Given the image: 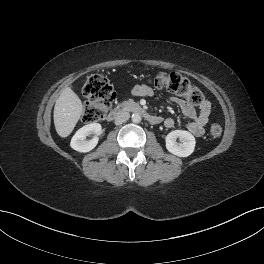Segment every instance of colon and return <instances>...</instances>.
I'll return each instance as SVG.
<instances>
[{
    "label": "colon",
    "instance_id": "colon-1",
    "mask_svg": "<svg viewBox=\"0 0 264 264\" xmlns=\"http://www.w3.org/2000/svg\"><path fill=\"white\" fill-rule=\"evenodd\" d=\"M148 82L157 89H165L173 94L182 96L188 103L193 105H199L204 100L202 91L178 73L159 72L151 77ZM82 92L86 99L83 113V121L85 123L102 120L116 98L115 91L109 80L99 74L88 78ZM221 133L222 127L218 123H213L210 126L209 135L211 138H218Z\"/></svg>",
    "mask_w": 264,
    "mask_h": 264
}]
</instances>
